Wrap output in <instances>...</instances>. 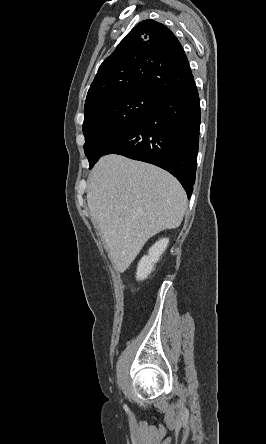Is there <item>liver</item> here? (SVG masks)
<instances>
[{"instance_id":"liver-1","label":"liver","mask_w":266,"mask_h":444,"mask_svg":"<svg viewBox=\"0 0 266 444\" xmlns=\"http://www.w3.org/2000/svg\"><path fill=\"white\" fill-rule=\"evenodd\" d=\"M87 203L116 270L124 272L150 237L181 224L187 199L168 172L112 154L91 171Z\"/></svg>"}]
</instances>
